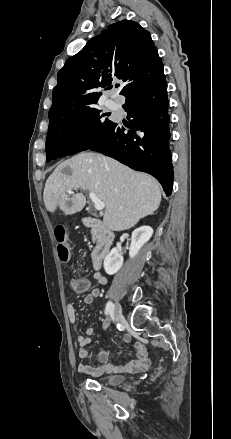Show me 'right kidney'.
Instances as JSON below:
<instances>
[{
	"instance_id": "obj_1",
	"label": "right kidney",
	"mask_w": 231,
	"mask_h": 439,
	"mask_svg": "<svg viewBox=\"0 0 231 439\" xmlns=\"http://www.w3.org/2000/svg\"><path fill=\"white\" fill-rule=\"evenodd\" d=\"M153 234L150 226H141L132 232L129 248L130 258H134L142 246L149 241ZM104 270L108 275L117 273L123 265V257L117 248H113L104 259Z\"/></svg>"
}]
</instances>
